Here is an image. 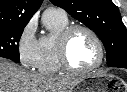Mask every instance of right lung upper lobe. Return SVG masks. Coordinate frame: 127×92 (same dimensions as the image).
<instances>
[{
  "label": "right lung upper lobe",
  "mask_w": 127,
  "mask_h": 92,
  "mask_svg": "<svg viewBox=\"0 0 127 92\" xmlns=\"http://www.w3.org/2000/svg\"><path fill=\"white\" fill-rule=\"evenodd\" d=\"M43 0H0V27L26 26Z\"/></svg>",
  "instance_id": "1"
}]
</instances>
